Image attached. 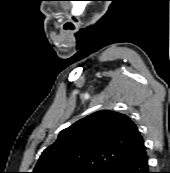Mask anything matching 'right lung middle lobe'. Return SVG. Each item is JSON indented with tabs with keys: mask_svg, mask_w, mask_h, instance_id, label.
<instances>
[{
	"mask_svg": "<svg viewBox=\"0 0 170 173\" xmlns=\"http://www.w3.org/2000/svg\"><path fill=\"white\" fill-rule=\"evenodd\" d=\"M104 170H84V171H74V173H103Z\"/></svg>",
	"mask_w": 170,
	"mask_h": 173,
	"instance_id": "obj_1",
	"label": "right lung middle lobe"
}]
</instances>
